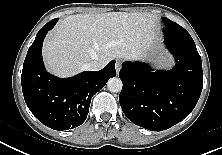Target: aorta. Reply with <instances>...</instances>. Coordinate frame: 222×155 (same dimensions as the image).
<instances>
[{"mask_svg":"<svg viewBox=\"0 0 222 155\" xmlns=\"http://www.w3.org/2000/svg\"><path fill=\"white\" fill-rule=\"evenodd\" d=\"M122 81L120 78L113 77L110 78L107 82V88L110 92L118 93L122 90Z\"/></svg>","mask_w":222,"mask_h":155,"instance_id":"aorta-1","label":"aorta"}]
</instances>
